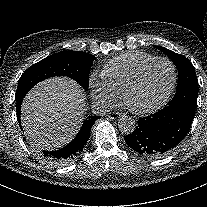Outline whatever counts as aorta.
<instances>
[{"label": "aorta", "instance_id": "1", "mask_svg": "<svg viewBox=\"0 0 207 207\" xmlns=\"http://www.w3.org/2000/svg\"><path fill=\"white\" fill-rule=\"evenodd\" d=\"M119 130L124 134H131L136 129V122L128 116H122L118 122Z\"/></svg>", "mask_w": 207, "mask_h": 207}]
</instances>
